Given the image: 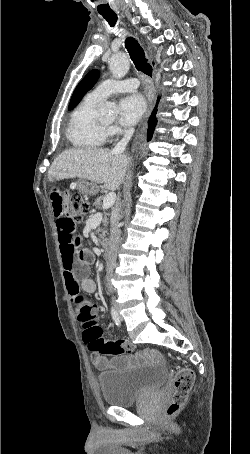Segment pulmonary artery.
Instances as JSON below:
<instances>
[{"label":"pulmonary artery","instance_id":"obj_1","mask_svg":"<svg viewBox=\"0 0 250 454\" xmlns=\"http://www.w3.org/2000/svg\"><path fill=\"white\" fill-rule=\"evenodd\" d=\"M138 86L139 81L137 78H129L126 80L106 79L102 81L89 96L101 101L114 93L131 91L138 88Z\"/></svg>","mask_w":250,"mask_h":454}]
</instances>
